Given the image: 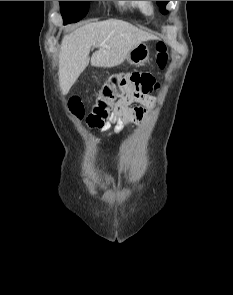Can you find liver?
I'll list each match as a JSON object with an SVG mask.
<instances>
[{
  "label": "liver",
  "mask_w": 233,
  "mask_h": 295,
  "mask_svg": "<svg viewBox=\"0 0 233 295\" xmlns=\"http://www.w3.org/2000/svg\"><path fill=\"white\" fill-rule=\"evenodd\" d=\"M155 36L117 19L88 23L65 35L59 53V86L66 95L88 66L90 49H99L91 56L94 67L111 68L121 64L129 51Z\"/></svg>",
  "instance_id": "6515ba94"
}]
</instances>
